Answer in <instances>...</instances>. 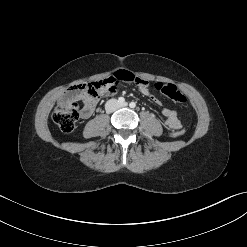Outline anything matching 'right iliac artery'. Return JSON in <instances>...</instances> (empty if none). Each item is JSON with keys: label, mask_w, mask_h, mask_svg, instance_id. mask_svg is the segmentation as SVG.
<instances>
[{"label": "right iliac artery", "mask_w": 247, "mask_h": 247, "mask_svg": "<svg viewBox=\"0 0 247 247\" xmlns=\"http://www.w3.org/2000/svg\"><path fill=\"white\" fill-rule=\"evenodd\" d=\"M118 102H119L120 104H123V103H125V99H124L123 97H119V98H118Z\"/></svg>", "instance_id": "right-iliac-artery-1"}]
</instances>
